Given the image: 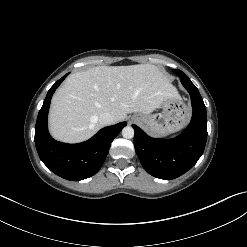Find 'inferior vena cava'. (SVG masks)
I'll return each mask as SVG.
<instances>
[{"label": "inferior vena cava", "mask_w": 247, "mask_h": 247, "mask_svg": "<svg viewBox=\"0 0 247 247\" xmlns=\"http://www.w3.org/2000/svg\"><path fill=\"white\" fill-rule=\"evenodd\" d=\"M98 120L102 126L111 125L114 123V115L110 112H104L100 114Z\"/></svg>", "instance_id": "inferior-vena-cava-1"}]
</instances>
